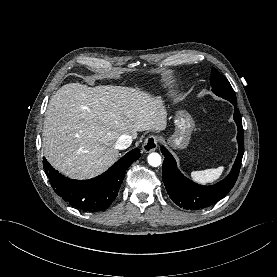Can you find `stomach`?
Listing matches in <instances>:
<instances>
[{
  "instance_id": "0dacf381",
  "label": "stomach",
  "mask_w": 277,
  "mask_h": 277,
  "mask_svg": "<svg viewBox=\"0 0 277 277\" xmlns=\"http://www.w3.org/2000/svg\"><path fill=\"white\" fill-rule=\"evenodd\" d=\"M174 123L176 131L169 141L176 148H185L189 144L195 122L188 112L180 110L176 114Z\"/></svg>"
}]
</instances>
